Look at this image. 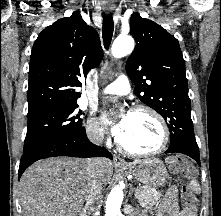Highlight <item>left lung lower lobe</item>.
<instances>
[{"instance_id": "obj_1", "label": "left lung lower lobe", "mask_w": 221, "mask_h": 216, "mask_svg": "<svg viewBox=\"0 0 221 216\" xmlns=\"http://www.w3.org/2000/svg\"><path fill=\"white\" fill-rule=\"evenodd\" d=\"M165 153H182L188 155L200 165L199 151H194L185 147H169Z\"/></svg>"}]
</instances>
